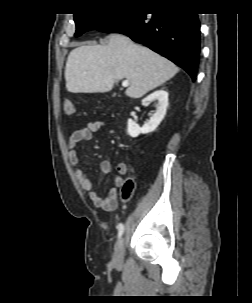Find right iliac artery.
Returning a JSON list of instances; mask_svg holds the SVG:
<instances>
[{
	"instance_id": "82829eb1",
	"label": "right iliac artery",
	"mask_w": 252,
	"mask_h": 303,
	"mask_svg": "<svg viewBox=\"0 0 252 303\" xmlns=\"http://www.w3.org/2000/svg\"><path fill=\"white\" fill-rule=\"evenodd\" d=\"M117 228H118V237L120 238L124 232V225L122 223H119Z\"/></svg>"
}]
</instances>
